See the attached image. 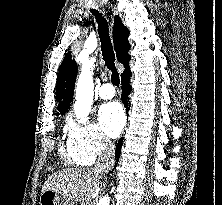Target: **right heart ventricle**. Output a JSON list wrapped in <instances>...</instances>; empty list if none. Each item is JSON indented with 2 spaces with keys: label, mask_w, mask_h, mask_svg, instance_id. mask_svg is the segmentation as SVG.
<instances>
[{
  "label": "right heart ventricle",
  "mask_w": 222,
  "mask_h": 205,
  "mask_svg": "<svg viewBox=\"0 0 222 205\" xmlns=\"http://www.w3.org/2000/svg\"><path fill=\"white\" fill-rule=\"evenodd\" d=\"M60 152L66 162H68L70 164H76V165L81 164L82 165V163L79 161V159L76 157V155L69 149L68 146H67L66 150H64L63 147H61Z\"/></svg>",
  "instance_id": "e07e8e85"
}]
</instances>
